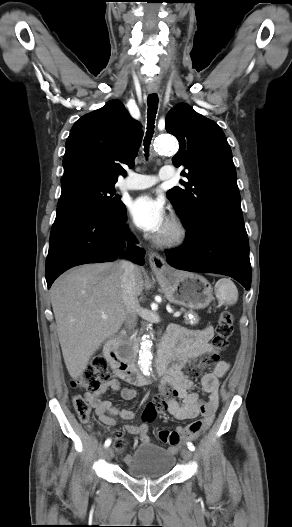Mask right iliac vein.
I'll list each match as a JSON object with an SVG mask.
<instances>
[{"label": "right iliac vein", "mask_w": 292, "mask_h": 527, "mask_svg": "<svg viewBox=\"0 0 292 527\" xmlns=\"http://www.w3.org/2000/svg\"><path fill=\"white\" fill-rule=\"evenodd\" d=\"M104 454H105V458L107 460H111L113 458V450H112V448H107L105 450Z\"/></svg>", "instance_id": "63e3f726"}]
</instances>
